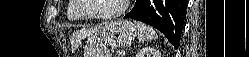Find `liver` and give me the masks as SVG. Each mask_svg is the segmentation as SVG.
<instances>
[{"label":"liver","mask_w":249,"mask_h":57,"mask_svg":"<svg viewBox=\"0 0 249 57\" xmlns=\"http://www.w3.org/2000/svg\"><path fill=\"white\" fill-rule=\"evenodd\" d=\"M97 30H98V28L82 29L75 34V37H82V38L88 37V36L94 34Z\"/></svg>","instance_id":"1"}]
</instances>
